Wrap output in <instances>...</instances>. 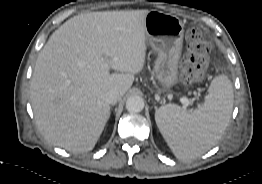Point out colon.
I'll use <instances>...</instances> for the list:
<instances>
[{"mask_svg":"<svg viewBox=\"0 0 262 184\" xmlns=\"http://www.w3.org/2000/svg\"><path fill=\"white\" fill-rule=\"evenodd\" d=\"M187 53L180 66L181 80L185 84H194L204 79L210 44L197 28H190L186 34Z\"/></svg>","mask_w":262,"mask_h":184,"instance_id":"5ec220e1","label":"colon"}]
</instances>
